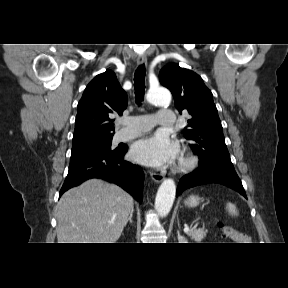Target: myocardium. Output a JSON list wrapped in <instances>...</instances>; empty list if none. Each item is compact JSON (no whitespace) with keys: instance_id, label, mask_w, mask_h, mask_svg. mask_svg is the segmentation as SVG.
Here are the masks:
<instances>
[{"instance_id":"myocardium-1","label":"myocardium","mask_w":288,"mask_h":288,"mask_svg":"<svg viewBox=\"0 0 288 288\" xmlns=\"http://www.w3.org/2000/svg\"><path fill=\"white\" fill-rule=\"evenodd\" d=\"M181 166L188 167L193 164V160L187 156H183L180 161Z\"/></svg>"}]
</instances>
